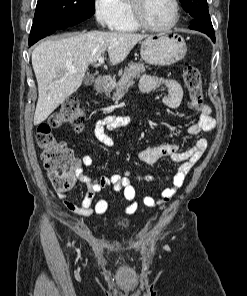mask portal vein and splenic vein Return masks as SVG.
Segmentation results:
<instances>
[{
    "mask_svg": "<svg viewBox=\"0 0 247 296\" xmlns=\"http://www.w3.org/2000/svg\"><path fill=\"white\" fill-rule=\"evenodd\" d=\"M98 62L101 63V64H103V63H104V57L100 56V57L98 58ZM69 71H70V72H75L76 70L73 69V68H71V69H69Z\"/></svg>",
    "mask_w": 247,
    "mask_h": 296,
    "instance_id": "18ae733b",
    "label": "portal vein and splenic vein"
}]
</instances>
